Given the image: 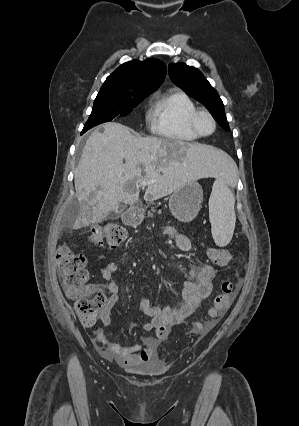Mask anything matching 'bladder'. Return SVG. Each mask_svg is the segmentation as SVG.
Here are the masks:
<instances>
[{"mask_svg": "<svg viewBox=\"0 0 299 426\" xmlns=\"http://www.w3.org/2000/svg\"><path fill=\"white\" fill-rule=\"evenodd\" d=\"M128 372L143 376V377H156L163 373L164 366L160 363L144 362L138 365L127 367Z\"/></svg>", "mask_w": 299, "mask_h": 426, "instance_id": "obj_1", "label": "bladder"}]
</instances>
